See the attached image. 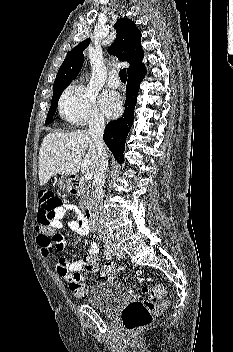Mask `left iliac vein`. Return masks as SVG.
Returning a JSON list of instances; mask_svg holds the SVG:
<instances>
[{"mask_svg":"<svg viewBox=\"0 0 233 352\" xmlns=\"http://www.w3.org/2000/svg\"><path fill=\"white\" fill-rule=\"evenodd\" d=\"M113 252L118 258H124L125 257V252L119 247H114Z\"/></svg>","mask_w":233,"mask_h":352,"instance_id":"left-iliac-vein-1","label":"left iliac vein"}]
</instances>
